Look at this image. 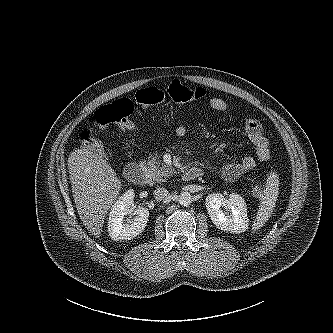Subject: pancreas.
<instances>
[{"label":"pancreas","instance_id":"1","mask_svg":"<svg viewBox=\"0 0 333 333\" xmlns=\"http://www.w3.org/2000/svg\"><path fill=\"white\" fill-rule=\"evenodd\" d=\"M146 172L152 180V183L155 184L166 182L174 173V169L165 164L161 165V161L155 157L147 162Z\"/></svg>","mask_w":333,"mask_h":333}]
</instances>
